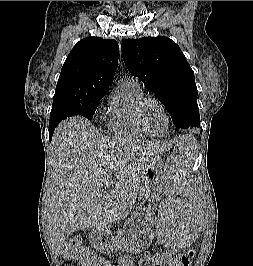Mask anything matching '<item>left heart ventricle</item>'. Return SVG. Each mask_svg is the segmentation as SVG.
Listing matches in <instances>:
<instances>
[{"instance_id":"left-heart-ventricle-1","label":"left heart ventricle","mask_w":253,"mask_h":266,"mask_svg":"<svg viewBox=\"0 0 253 266\" xmlns=\"http://www.w3.org/2000/svg\"><path fill=\"white\" fill-rule=\"evenodd\" d=\"M142 122L145 127L155 134H161L167 127L163 110L154 102H148L142 110Z\"/></svg>"}]
</instances>
